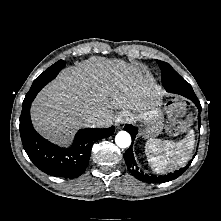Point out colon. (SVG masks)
Masks as SVG:
<instances>
[{
  "instance_id": "5ec220e1",
  "label": "colon",
  "mask_w": 221,
  "mask_h": 221,
  "mask_svg": "<svg viewBox=\"0 0 221 221\" xmlns=\"http://www.w3.org/2000/svg\"><path fill=\"white\" fill-rule=\"evenodd\" d=\"M186 104L183 101H176L171 105L170 118L168 122V131L176 134L187 126V119L185 117Z\"/></svg>"
}]
</instances>
